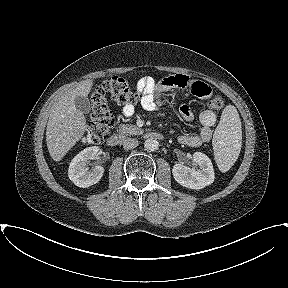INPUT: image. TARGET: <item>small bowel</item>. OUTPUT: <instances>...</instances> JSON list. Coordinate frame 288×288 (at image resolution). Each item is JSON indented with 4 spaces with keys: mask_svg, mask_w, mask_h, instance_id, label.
Instances as JSON below:
<instances>
[{
    "mask_svg": "<svg viewBox=\"0 0 288 288\" xmlns=\"http://www.w3.org/2000/svg\"><path fill=\"white\" fill-rule=\"evenodd\" d=\"M136 87L141 95L140 105L147 111H153L163 106L162 94L170 90L189 89L194 95L202 99H209L212 96V90L207 84L186 75L170 76L160 81H155L152 77H144L137 82ZM134 111V105H125L122 108V113L126 118L131 117ZM179 112L186 121H192L194 118L191 109L186 104H180ZM199 120L201 123L199 134L180 135L178 141L181 144L197 147L211 140L212 127L217 120L216 114L210 109H204L199 114Z\"/></svg>",
    "mask_w": 288,
    "mask_h": 288,
    "instance_id": "1",
    "label": "small bowel"
}]
</instances>
